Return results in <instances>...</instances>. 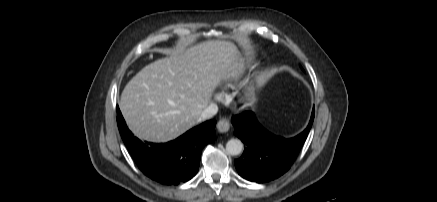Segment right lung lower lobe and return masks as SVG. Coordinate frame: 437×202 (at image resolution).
<instances>
[{"instance_id":"1","label":"right lung lower lobe","mask_w":437,"mask_h":202,"mask_svg":"<svg viewBox=\"0 0 437 202\" xmlns=\"http://www.w3.org/2000/svg\"><path fill=\"white\" fill-rule=\"evenodd\" d=\"M117 124L139 169L149 178L166 185H178L193 178L199 169L203 147L215 140V120L206 121L164 144L145 143L134 137L118 107Z\"/></svg>"}]
</instances>
